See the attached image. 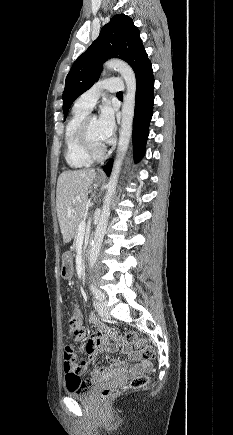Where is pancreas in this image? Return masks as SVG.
Segmentation results:
<instances>
[{"mask_svg": "<svg viewBox=\"0 0 233 435\" xmlns=\"http://www.w3.org/2000/svg\"><path fill=\"white\" fill-rule=\"evenodd\" d=\"M82 220H85V216H82V218L80 219V221H82ZM80 221H79V223H80ZM79 223L77 224V227H76V233L78 232V225H79Z\"/></svg>", "mask_w": 233, "mask_h": 435, "instance_id": "cf45deb5", "label": "pancreas"}]
</instances>
